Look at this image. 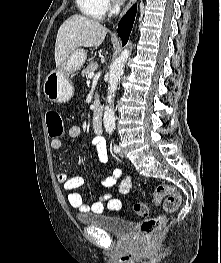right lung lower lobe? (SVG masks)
Masks as SVG:
<instances>
[{"instance_id": "1", "label": "right lung lower lobe", "mask_w": 221, "mask_h": 263, "mask_svg": "<svg viewBox=\"0 0 221 263\" xmlns=\"http://www.w3.org/2000/svg\"><path fill=\"white\" fill-rule=\"evenodd\" d=\"M136 9H137L136 5L131 7V9L128 10L126 15L119 22L118 35L120 36V38H121V40L123 42V46L128 41V38H129V35H130V32H131L132 26H133V22H134V19H135Z\"/></svg>"}]
</instances>
